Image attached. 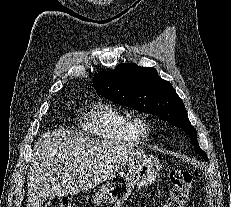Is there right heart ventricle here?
I'll return each mask as SVG.
<instances>
[{"instance_id":"obj_1","label":"right heart ventricle","mask_w":231,"mask_h":207,"mask_svg":"<svg viewBox=\"0 0 231 207\" xmlns=\"http://www.w3.org/2000/svg\"><path fill=\"white\" fill-rule=\"evenodd\" d=\"M82 130L88 135L111 141L138 143L133 116L126 110L105 100L93 103L82 114Z\"/></svg>"}]
</instances>
